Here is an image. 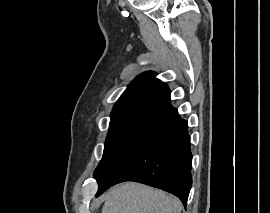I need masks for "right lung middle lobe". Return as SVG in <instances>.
<instances>
[{
    "instance_id": "right-lung-middle-lobe-1",
    "label": "right lung middle lobe",
    "mask_w": 270,
    "mask_h": 213,
    "mask_svg": "<svg viewBox=\"0 0 270 213\" xmlns=\"http://www.w3.org/2000/svg\"><path fill=\"white\" fill-rule=\"evenodd\" d=\"M154 108L151 105H132L112 111L103 157L94 171L95 177L107 166L108 162Z\"/></svg>"
}]
</instances>
